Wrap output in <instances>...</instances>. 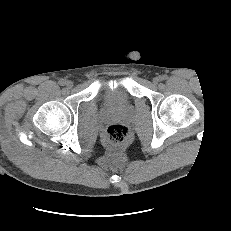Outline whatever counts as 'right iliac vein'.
Segmentation results:
<instances>
[{"label":"right iliac vein","instance_id":"right-iliac-vein-1","mask_svg":"<svg viewBox=\"0 0 231 231\" xmlns=\"http://www.w3.org/2000/svg\"><path fill=\"white\" fill-rule=\"evenodd\" d=\"M66 86L68 87V88H72L73 87V82L72 81H67L66 82Z\"/></svg>","mask_w":231,"mask_h":231}]
</instances>
